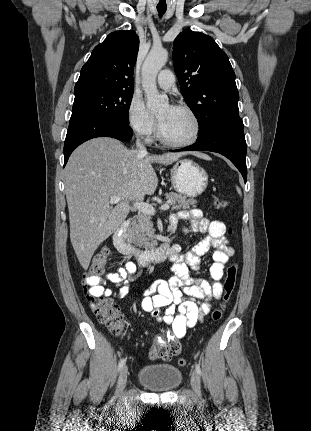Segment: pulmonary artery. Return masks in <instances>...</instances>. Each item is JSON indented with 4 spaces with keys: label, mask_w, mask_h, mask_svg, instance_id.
<instances>
[{
    "label": "pulmonary artery",
    "mask_w": 311,
    "mask_h": 431,
    "mask_svg": "<svg viewBox=\"0 0 311 431\" xmlns=\"http://www.w3.org/2000/svg\"><path fill=\"white\" fill-rule=\"evenodd\" d=\"M157 83L161 89L170 90L175 87V77L170 69L160 71L157 77Z\"/></svg>",
    "instance_id": "obj_1"
}]
</instances>
